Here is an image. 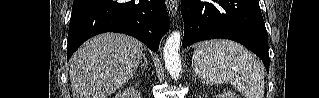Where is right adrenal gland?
I'll return each instance as SVG.
<instances>
[{
	"mask_svg": "<svg viewBox=\"0 0 319 98\" xmlns=\"http://www.w3.org/2000/svg\"><path fill=\"white\" fill-rule=\"evenodd\" d=\"M143 60L144 62L141 64L140 67H145V68H148V62H147V58L145 57V55L143 54Z\"/></svg>",
	"mask_w": 319,
	"mask_h": 98,
	"instance_id": "right-adrenal-gland-1",
	"label": "right adrenal gland"
}]
</instances>
